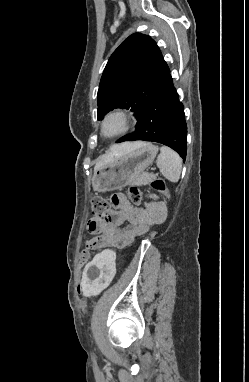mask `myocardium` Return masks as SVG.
<instances>
[{
  "label": "myocardium",
  "mask_w": 249,
  "mask_h": 382,
  "mask_svg": "<svg viewBox=\"0 0 249 382\" xmlns=\"http://www.w3.org/2000/svg\"><path fill=\"white\" fill-rule=\"evenodd\" d=\"M113 128L110 130V128ZM130 116L124 109L116 108L107 112L100 122V134L106 139L116 138L129 130Z\"/></svg>",
  "instance_id": "obj_1"
}]
</instances>
